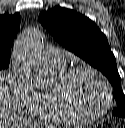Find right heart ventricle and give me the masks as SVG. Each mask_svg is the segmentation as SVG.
Segmentation results:
<instances>
[{
	"label": "right heart ventricle",
	"instance_id": "e07e8e85",
	"mask_svg": "<svg viewBox=\"0 0 125 128\" xmlns=\"http://www.w3.org/2000/svg\"><path fill=\"white\" fill-rule=\"evenodd\" d=\"M53 74L60 78L66 72V66L52 67ZM31 113L39 120L56 124H75L78 121L72 119L61 109L55 95L54 89L39 92L37 100L31 110Z\"/></svg>",
	"mask_w": 125,
	"mask_h": 128
}]
</instances>
